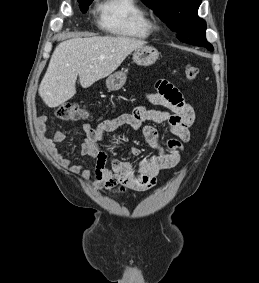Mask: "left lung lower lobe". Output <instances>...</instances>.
Returning <instances> with one entry per match:
<instances>
[{
  "label": "left lung lower lobe",
  "instance_id": "0a47b994",
  "mask_svg": "<svg viewBox=\"0 0 259 283\" xmlns=\"http://www.w3.org/2000/svg\"><path fill=\"white\" fill-rule=\"evenodd\" d=\"M206 48H208V50H213L212 46H209V47H206Z\"/></svg>",
  "mask_w": 259,
  "mask_h": 283
}]
</instances>
